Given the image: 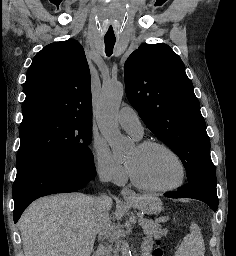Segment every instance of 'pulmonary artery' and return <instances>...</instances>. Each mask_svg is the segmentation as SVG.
Wrapping results in <instances>:
<instances>
[{"mask_svg": "<svg viewBox=\"0 0 236 256\" xmlns=\"http://www.w3.org/2000/svg\"><path fill=\"white\" fill-rule=\"evenodd\" d=\"M117 121L127 132L133 134L136 139L142 138L144 132L137 112L131 107L122 108L117 114Z\"/></svg>", "mask_w": 236, "mask_h": 256, "instance_id": "e3ab8cb5", "label": "pulmonary artery"}]
</instances>
